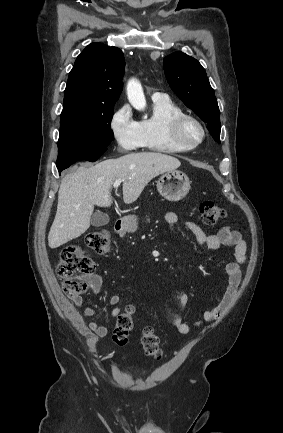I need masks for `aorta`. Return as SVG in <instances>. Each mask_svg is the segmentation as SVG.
<instances>
[{
	"instance_id": "762f6f07",
	"label": "aorta",
	"mask_w": 283,
	"mask_h": 433,
	"mask_svg": "<svg viewBox=\"0 0 283 433\" xmlns=\"http://www.w3.org/2000/svg\"><path fill=\"white\" fill-rule=\"evenodd\" d=\"M127 96L131 105L141 111L146 107V99L140 82L137 79H130L127 83Z\"/></svg>"
}]
</instances>
